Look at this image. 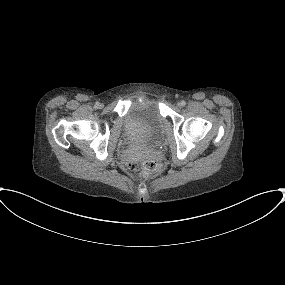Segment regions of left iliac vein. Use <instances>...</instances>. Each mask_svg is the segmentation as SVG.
Here are the masks:
<instances>
[{
  "instance_id": "4c4485c4",
  "label": "left iliac vein",
  "mask_w": 285,
  "mask_h": 285,
  "mask_svg": "<svg viewBox=\"0 0 285 285\" xmlns=\"http://www.w3.org/2000/svg\"><path fill=\"white\" fill-rule=\"evenodd\" d=\"M177 106H178V107H181L182 105H181V103H177Z\"/></svg>"
}]
</instances>
